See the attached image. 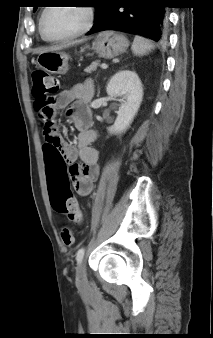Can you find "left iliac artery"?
<instances>
[{"instance_id": "1", "label": "left iliac artery", "mask_w": 213, "mask_h": 338, "mask_svg": "<svg viewBox=\"0 0 213 338\" xmlns=\"http://www.w3.org/2000/svg\"><path fill=\"white\" fill-rule=\"evenodd\" d=\"M85 253V248L81 247L76 253V260L78 263H81Z\"/></svg>"}]
</instances>
